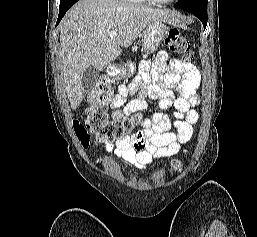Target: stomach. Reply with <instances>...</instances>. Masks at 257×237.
<instances>
[{
  "mask_svg": "<svg viewBox=\"0 0 257 237\" xmlns=\"http://www.w3.org/2000/svg\"><path fill=\"white\" fill-rule=\"evenodd\" d=\"M168 35V27L164 21L156 20L150 22L142 34V47L145 53L150 54L157 50L160 44ZM134 73L133 65L129 64L127 68L121 70L124 76H131Z\"/></svg>",
  "mask_w": 257,
  "mask_h": 237,
  "instance_id": "obj_1",
  "label": "stomach"
}]
</instances>
